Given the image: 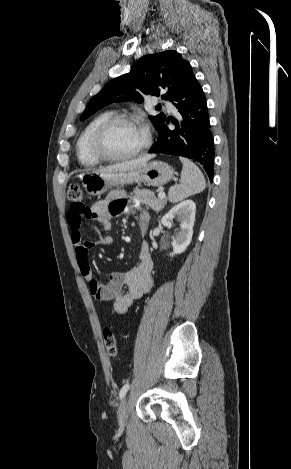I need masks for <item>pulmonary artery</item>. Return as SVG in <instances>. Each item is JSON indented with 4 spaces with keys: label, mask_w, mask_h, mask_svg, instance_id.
<instances>
[{
    "label": "pulmonary artery",
    "mask_w": 291,
    "mask_h": 469,
    "mask_svg": "<svg viewBox=\"0 0 291 469\" xmlns=\"http://www.w3.org/2000/svg\"><path fill=\"white\" fill-rule=\"evenodd\" d=\"M164 104H165V106L167 107V109H168L169 111H174V110H175V108H174V106H173V104H172L171 102H169V101H164Z\"/></svg>",
    "instance_id": "e3ab8cb5"
}]
</instances>
